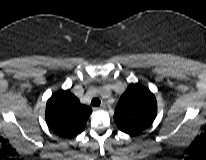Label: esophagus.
I'll return each instance as SVG.
<instances>
[{
	"instance_id": "34e87169",
	"label": "esophagus",
	"mask_w": 206,
	"mask_h": 160,
	"mask_svg": "<svg viewBox=\"0 0 206 160\" xmlns=\"http://www.w3.org/2000/svg\"><path fill=\"white\" fill-rule=\"evenodd\" d=\"M105 108H106V104L103 102L99 107H95L94 109L98 110V109H105Z\"/></svg>"
}]
</instances>
